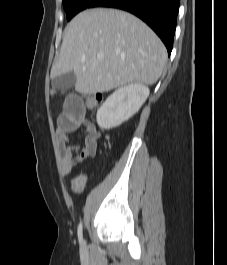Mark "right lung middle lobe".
Instances as JSON below:
<instances>
[{
	"label": "right lung middle lobe",
	"mask_w": 227,
	"mask_h": 265,
	"mask_svg": "<svg viewBox=\"0 0 227 265\" xmlns=\"http://www.w3.org/2000/svg\"><path fill=\"white\" fill-rule=\"evenodd\" d=\"M67 20H70L81 10L89 7L93 0H62Z\"/></svg>",
	"instance_id": "1"
}]
</instances>
